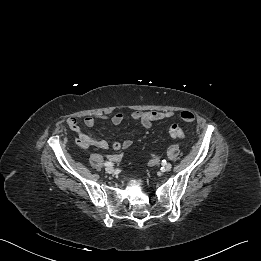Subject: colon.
Here are the masks:
<instances>
[{
	"label": "colon",
	"instance_id": "1",
	"mask_svg": "<svg viewBox=\"0 0 261 261\" xmlns=\"http://www.w3.org/2000/svg\"><path fill=\"white\" fill-rule=\"evenodd\" d=\"M168 133L174 139H184L188 134V129L177 124H170L168 126Z\"/></svg>",
	"mask_w": 261,
	"mask_h": 261
}]
</instances>
